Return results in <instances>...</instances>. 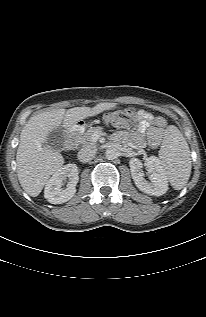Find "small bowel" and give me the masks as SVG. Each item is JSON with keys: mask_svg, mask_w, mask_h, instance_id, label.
<instances>
[{"mask_svg": "<svg viewBox=\"0 0 206 317\" xmlns=\"http://www.w3.org/2000/svg\"><path fill=\"white\" fill-rule=\"evenodd\" d=\"M137 126L130 134L120 132L116 137L120 140H128L129 144L134 148H142L145 146V138L152 148L160 145L162 135L167 126V121L161 116H154L151 113L139 110L136 113Z\"/></svg>", "mask_w": 206, "mask_h": 317, "instance_id": "1", "label": "small bowel"}]
</instances>
